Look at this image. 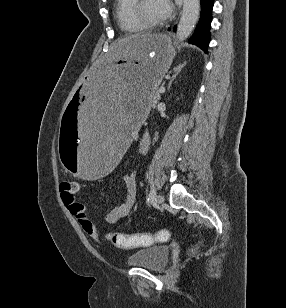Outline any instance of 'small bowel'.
<instances>
[{
  "label": "small bowel",
  "instance_id": "small-bowel-1",
  "mask_svg": "<svg viewBox=\"0 0 286 308\" xmlns=\"http://www.w3.org/2000/svg\"><path fill=\"white\" fill-rule=\"evenodd\" d=\"M149 148V140L142 138L139 142V151L145 154ZM136 173L132 172L124 175L123 182L127 190V195L123 203L111 209L106 215V221L109 224H118L123 218L128 216L133 209L136 202ZM63 202L68 206L70 213L76 218L83 231L88 234L92 239L97 242H101V236L88 217L85 211V207L79 203L75 196L67 197L63 196Z\"/></svg>",
  "mask_w": 286,
  "mask_h": 308
}]
</instances>
